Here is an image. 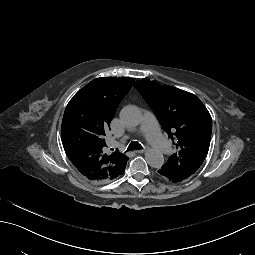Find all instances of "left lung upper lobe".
<instances>
[{
	"mask_svg": "<svg viewBox=\"0 0 255 255\" xmlns=\"http://www.w3.org/2000/svg\"><path fill=\"white\" fill-rule=\"evenodd\" d=\"M134 87L155 113L163 129L175 139L176 153L162 169L175 182L189 178L206 158L212 132L210 113L192 93L159 83L138 80Z\"/></svg>",
	"mask_w": 255,
	"mask_h": 255,
	"instance_id": "5c2ea615",
	"label": "left lung upper lobe"
}]
</instances>
